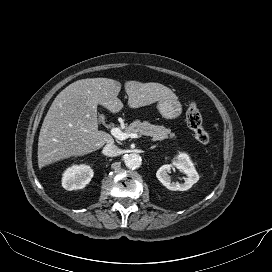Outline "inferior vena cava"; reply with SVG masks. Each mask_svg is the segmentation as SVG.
I'll list each match as a JSON object with an SVG mask.
<instances>
[{
    "mask_svg": "<svg viewBox=\"0 0 272 272\" xmlns=\"http://www.w3.org/2000/svg\"><path fill=\"white\" fill-rule=\"evenodd\" d=\"M103 153L106 156L115 157V156H118L121 153V151L116 145L107 144V145H105V147L103 149Z\"/></svg>",
    "mask_w": 272,
    "mask_h": 272,
    "instance_id": "1",
    "label": "inferior vena cava"
}]
</instances>
